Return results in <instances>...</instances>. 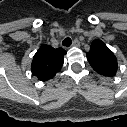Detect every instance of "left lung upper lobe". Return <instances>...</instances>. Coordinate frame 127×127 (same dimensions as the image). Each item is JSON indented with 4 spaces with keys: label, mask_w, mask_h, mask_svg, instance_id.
<instances>
[{
    "label": "left lung upper lobe",
    "mask_w": 127,
    "mask_h": 127,
    "mask_svg": "<svg viewBox=\"0 0 127 127\" xmlns=\"http://www.w3.org/2000/svg\"><path fill=\"white\" fill-rule=\"evenodd\" d=\"M92 68L101 75L112 77L117 71V59L101 40H94L87 53Z\"/></svg>",
    "instance_id": "5c2ea615"
}]
</instances>
